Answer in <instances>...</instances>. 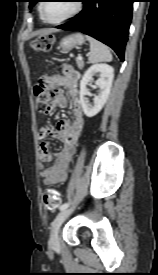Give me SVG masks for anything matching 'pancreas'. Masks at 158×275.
<instances>
[{
	"mask_svg": "<svg viewBox=\"0 0 158 275\" xmlns=\"http://www.w3.org/2000/svg\"><path fill=\"white\" fill-rule=\"evenodd\" d=\"M76 62L79 69H82L84 67V63L81 60L76 59Z\"/></svg>",
	"mask_w": 158,
	"mask_h": 275,
	"instance_id": "cf45deb5",
	"label": "pancreas"
}]
</instances>
